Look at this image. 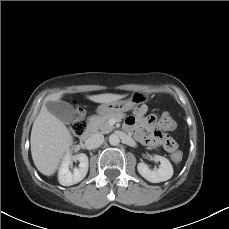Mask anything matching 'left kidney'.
<instances>
[{
  "label": "left kidney",
  "mask_w": 229,
  "mask_h": 229,
  "mask_svg": "<svg viewBox=\"0 0 229 229\" xmlns=\"http://www.w3.org/2000/svg\"><path fill=\"white\" fill-rule=\"evenodd\" d=\"M154 159L160 162L158 169L151 170L144 162H140L137 165L139 174L152 183H159L169 180L173 176V167L170 161L159 155H155Z\"/></svg>",
  "instance_id": "left-kidney-1"
}]
</instances>
